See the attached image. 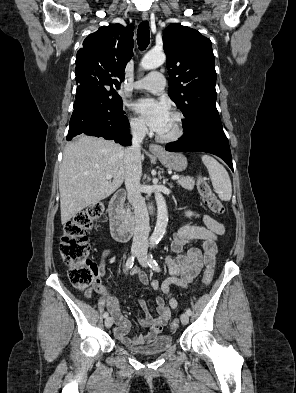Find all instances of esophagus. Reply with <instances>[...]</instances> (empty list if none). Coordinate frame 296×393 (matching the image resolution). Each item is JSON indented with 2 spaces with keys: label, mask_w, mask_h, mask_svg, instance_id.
Returning <instances> with one entry per match:
<instances>
[{
  "label": "esophagus",
  "mask_w": 296,
  "mask_h": 393,
  "mask_svg": "<svg viewBox=\"0 0 296 393\" xmlns=\"http://www.w3.org/2000/svg\"><path fill=\"white\" fill-rule=\"evenodd\" d=\"M142 19L145 20V21L149 19V15H148L147 12H143L142 13ZM149 150L153 154H161L163 152V148L160 145H157V144H151L149 146Z\"/></svg>",
  "instance_id": "34e87169"
}]
</instances>
